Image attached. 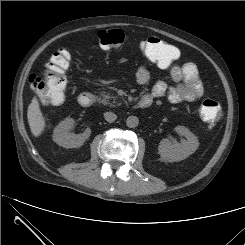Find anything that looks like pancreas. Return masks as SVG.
Instances as JSON below:
<instances>
[{"label":"pancreas","instance_id":"pancreas-1","mask_svg":"<svg viewBox=\"0 0 245 245\" xmlns=\"http://www.w3.org/2000/svg\"><path fill=\"white\" fill-rule=\"evenodd\" d=\"M111 99H113V102H112L113 104L110 103ZM100 103H102L104 105L110 104L111 106H115L116 97L115 96H111L110 93L102 92L101 93Z\"/></svg>","mask_w":245,"mask_h":245}]
</instances>
